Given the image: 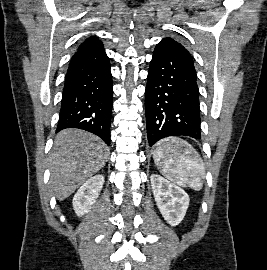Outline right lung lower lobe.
<instances>
[{"instance_id":"98d812e1","label":"right lung lower lobe","mask_w":267,"mask_h":270,"mask_svg":"<svg viewBox=\"0 0 267 270\" xmlns=\"http://www.w3.org/2000/svg\"><path fill=\"white\" fill-rule=\"evenodd\" d=\"M112 75L102 43L78 50L65 78L56 132L79 128L110 145Z\"/></svg>"}]
</instances>
